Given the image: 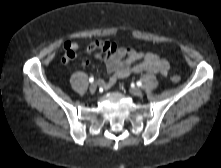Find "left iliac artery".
<instances>
[{
    "instance_id": "left-iliac-artery-1",
    "label": "left iliac artery",
    "mask_w": 221,
    "mask_h": 168,
    "mask_svg": "<svg viewBox=\"0 0 221 168\" xmlns=\"http://www.w3.org/2000/svg\"><path fill=\"white\" fill-rule=\"evenodd\" d=\"M137 86H142V82H141V81H138V82H137Z\"/></svg>"
}]
</instances>
